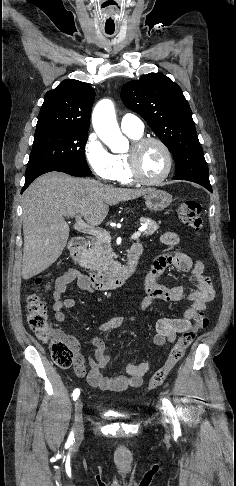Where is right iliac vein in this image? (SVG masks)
I'll list each match as a JSON object with an SVG mask.
<instances>
[{
  "label": "right iliac vein",
  "instance_id": "obj_1",
  "mask_svg": "<svg viewBox=\"0 0 236 486\" xmlns=\"http://www.w3.org/2000/svg\"><path fill=\"white\" fill-rule=\"evenodd\" d=\"M82 409L83 403L78 399L74 409L75 433L77 438H81L84 432Z\"/></svg>",
  "mask_w": 236,
  "mask_h": 486
}]
</instances>
